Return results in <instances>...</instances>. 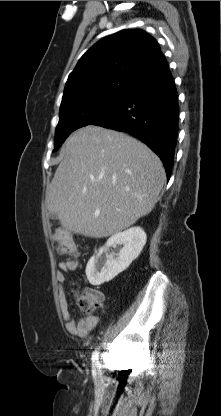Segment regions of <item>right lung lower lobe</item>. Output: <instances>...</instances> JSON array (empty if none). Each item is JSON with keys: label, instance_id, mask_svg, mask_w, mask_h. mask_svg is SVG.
Instances as JSON below:
<instances>
[{"label": "right lung lower lobe", "instance_id": "98d812e1", "mask_svg": "<svg viewBox=\"0 0 221 416\" xmlns=\"http://www.w3.org/2000/svg\"><path fill=\"white\" fill-rule=\"evenodd\" d=\"M178 95L167 77L131 91L105 118L92 125L127 132L143 141L162 160L169 180L178 132Z\"/></svg>", "mask_w": 221, "mask_h": 416}]
</instances>
